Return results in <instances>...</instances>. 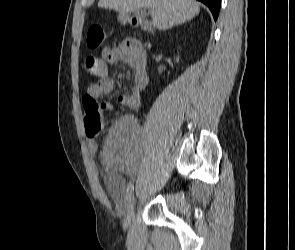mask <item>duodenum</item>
Here are the masks:
<instances>
[{
	"label": "duodenum",
	"instance_id": "1",
	"mask_svg": "<svg viewBox=\"0 0 295 250\" xmlns=\"http://www.w3.org/2000/svg\"><path fill=\"white\" fill-rule=\"evenodd\" d=\"M132 23L136 27H140V28H142L144 30H147V31H152V26L145 20H141V19L139 20V19L134 18L132 20ZM149 45H150V43H148V46ZM143 63L145 65V67H146V59L145 58L143 59ZM146 72H147V67H146Z\"/></svg>",
	"mask_w": 295,
	"mask_h": 250
}]
</instances>
